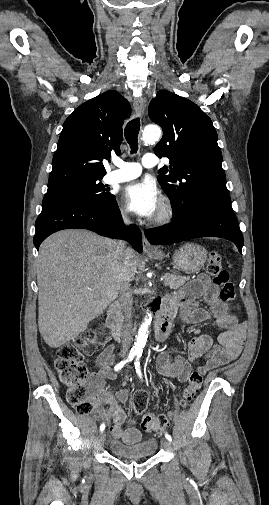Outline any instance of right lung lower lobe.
Masks as SVG:
<instances>
[{"mask_svg":"<svg viewBox=\"0 0 269 505\" xmlns=\"http://www.w3.org/2000/svg\"><path fill=\"white\" fill-rule=\"evenodd\" d=\"M88 229L99 235L125 239L138 252H142V235L136 225L126 228L122 222L116 200L102 208L76 199H60L44 203L36 220L33 239L38 249L52 233L63 229Z\"/></svg>","mask_w":269,"mask_h":505,"instance_id":"right-lung-lower-lobe-1","label":"right lung lower lobe"}]
</instances>
